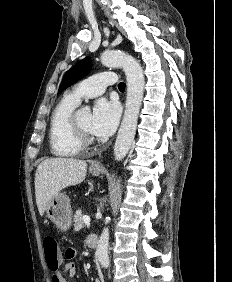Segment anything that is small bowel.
<instances>
[{"instance_id": "1", "label": "small bowel", "mask_w": 232, "mask_h": 282, "mask_svg": "<svg viewBox=\"0 0 232 282\" xmlns=\"http://www.w3.org/2000/svg\"><path fill=\"white\" fill-rule=\"evenodd\" d=\"M76 256V252L72 248H68L66 250V259L68 261L58 270H56L52 276V282H67L65 275H69L70 277L76 276V266L72 261ZM94 282H100V280L96 279Z\"/></svg>"}]
</instances>
